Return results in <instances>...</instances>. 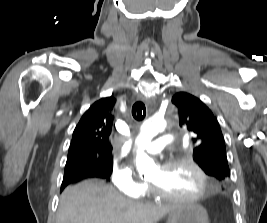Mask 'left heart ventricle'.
<instances>
[{"mask_svg":"<svg viewBox=\"0 0 267 223\" xmlns=\"http://www.w3.org/2000/svg\"><path fill=\"white\" fill-rule=\"evenodd\" d=\"M149 181L161 192L178 197L196 194L201 185L196 172L184 164L169 168L159 167Z\"/></svg>","mask_w":267,"mask_h":223,"instance_id":"left-heart-ventricle-1","label":"left heart ventricle"}]
</instances>
